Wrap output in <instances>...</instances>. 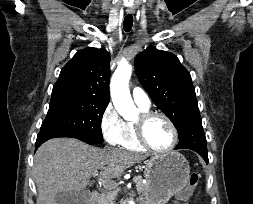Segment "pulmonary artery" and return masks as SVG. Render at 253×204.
Instances as JSON below:
<instances>
[{
    "label": "pulmonary artery",
    "mask_w": 253,
    "mask_h": 204,
    "mask_svg": "<svg viewBox=\"0 0 253 204\" xmlns=\"http://www.w3.org/2000/svg\"><path fill=\"white\" fill-rule=\"evenodd\" d=\"M132 98L139 108L144 110H148L150 108V98L143 89L134 87L132 89Z\"/></svg>",
    "instance_id": "e3ab8cb5"
}]
</instances>
